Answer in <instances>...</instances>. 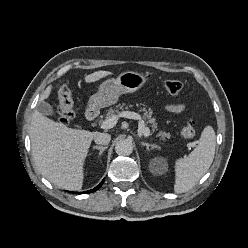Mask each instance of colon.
<instances>
[{"label":"colon","mask_w":248,"mask_h":248,"mask_svg":"<svg viewBox=\"0 0 248 248\" xmlns=\"http://www.w3.org/2000/svg\"><path fill=\"white\" fill-rule=\"evenodd\" d=\"M164 87L169 94L175 95L181 91L183 86L178 80H167ZM58 98V118L63 124H68L74 117V101L70 88L68 86H62L58 91ZM181 133L185 139L194 138L196 131L193 122H187L183 126Z\"/></svg>","instance_id":"obj_1"}]
</instances>
